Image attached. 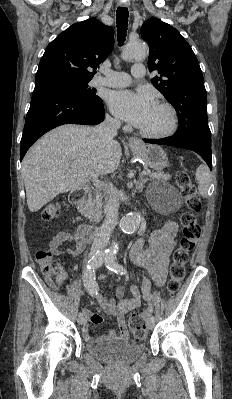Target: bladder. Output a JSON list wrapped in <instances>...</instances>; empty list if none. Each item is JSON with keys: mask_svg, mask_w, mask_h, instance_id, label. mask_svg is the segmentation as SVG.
I'll use <instances>...</instances> for the list:
<instances>
[{"mask_svg": "<svg viewBox=\"0 0 232 399\" xmlns=\"http://www.w3.org/2000/svg\"><path fill=\"white\" fill-rule=\"evenodd\" d=\"M84 350L86 354L102 362L126 365L139 359L145 353L146 345L125 340H114L87 343Z\"/></svg>", "mask_w": 232, "mask_h": 399, "instance_id": "1", "label": "bladder"}]
</instances>
